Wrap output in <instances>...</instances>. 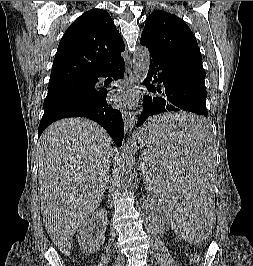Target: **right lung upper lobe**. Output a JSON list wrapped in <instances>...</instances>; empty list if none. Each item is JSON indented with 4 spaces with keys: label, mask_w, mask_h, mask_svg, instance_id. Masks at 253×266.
Returning <instances> with one entry per match:
<instances>
[{
    "label": "right lung upper lobe",
    "mask_w": 253,
    "mask_h": 266,
    "mask_svg": "<svg viewBox=\"0 0 253 266\" xmlns=\"http://www.w3.org/2000/svg\"><path fill=\"white\" fill-rule=\"evenodd\" d=\"M124 50L110 15L102 9L87 11L64 33L48 86L93 79L122 61Z\"/></svg>",
    "instance_id": "1"
}]
</instances>
